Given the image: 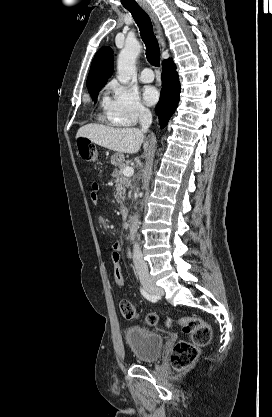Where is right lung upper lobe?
<instances>
[{
	"mask_svg": "<svg viewBox=\"0 0 272 417\" xmlns=\"http://www.w3.org/2000/svg\"><path fill=\"white\" fill-rule=\"evenodd\" d=\"M113 71V55L110 47L101 48L92 61L87 79L88 92L101 89Z\"/></svg>",
	"mask_w": 272,
	"mask_h": 417,
	"instance_id": "right-lung-upper-lobe-1",
	"label": "right lung upper lobe"
}]
</instances>
